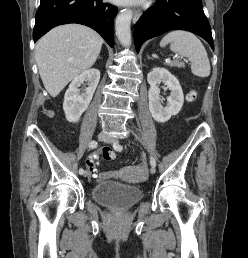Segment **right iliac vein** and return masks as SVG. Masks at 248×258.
Masks as SVG:
<instances>
[{"instance_id":"obj_1","label":"right iliac vein","mask_w":248,"mask_h":258,"mask_svg":"<svg viewBox=\"0 0 248 258\" xmlns=\"http://www.w3.org/2000/svg\"><path fill=\"white\" fill-rule=\"evenodd\" d=\"M107 137H108V135H107L105 132H100V133L98 134V140H99V141H103V140H105ZM83 175H84V177H87V176H89V172L86 170Z\"/></svg>"}]
</instances>
